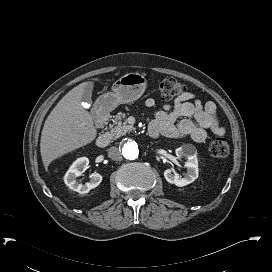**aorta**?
Listing matches in <instances>:
<instances>
[{
  "label": "aorta",
  "mask_w": 272,
  "mask_h": 272,
  "mask_svg": "<svg viewBox=\"0 0 272 272\" xmlns=\"http://www.w3.org/2000/svg\"><path fill=\"white\" fill-rule=\"evenodd\" d=\"M140 144L134 139H127L122 143V154L128 160H134L139 156Z\"/></svg>",
  "instance_id": "obj_1"
}]
</instances>
